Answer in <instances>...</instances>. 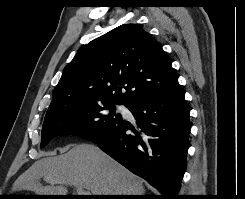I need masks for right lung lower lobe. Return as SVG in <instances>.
<instances>
[{
    "mask_svg": "<svg viewBox=\"0 0 245 199\" xmlns=\"http://www.w3.org/2000/svg\"><path fill=\"white\" fill-rule=\"evenodd\" d=\"M126 107L136 120L135 127L121 118L89 141L155 187L161 199H179L190 112L178 81Z\"/></svg>",
    "mask_w": 245,
    "mask_h": 199,
    "instance_id": "right-lung-lower-lobe-1",
    "label": "right lung lower lobe"
}]
</instances>
